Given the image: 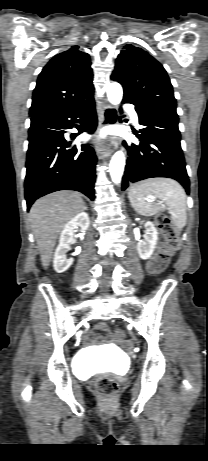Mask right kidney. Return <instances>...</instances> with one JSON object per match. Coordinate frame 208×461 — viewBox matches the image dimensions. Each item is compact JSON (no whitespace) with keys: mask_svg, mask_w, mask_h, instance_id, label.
<instances>
[{"mask_svg":"<svg viewBox=\"0 0 208 461\" xmlns=\"http://www.w3.org/2000/svg\"><path fill=\"white\" fill-rule=\"evenodd\" d=\"M90 225L89 216L85 212H81L73 217L67 224H65L59 239V245L56 248L53 260V266L57 273H63L73 263V258L66 259V253L68 252L70 244L75 242V232L78 227L84 232ZM81 252V248L77 247L74 254L78 255Z\"/></svg>","mask_w":208,"mask_h":461,"instance_id":"obj_1","label":"right kidney"}]
</instances>
